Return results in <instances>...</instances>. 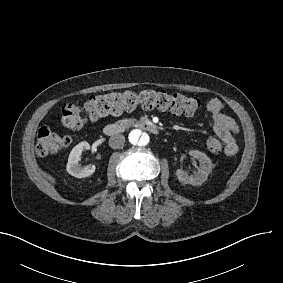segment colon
Here are the masks:
<instances>
[{"mask_svg":"<svg viewBox=\"0 0 283 283\" xmlns=\"http://www.w3.org/2000/svg\"><path fill=\"white\" fill-rule=\"evenodd\" d=\"M137 106L145 109H170L186 116H193L201 106V99L179 92L158 90H124L91 97L83 104H66L61 108L60 123L63 127L77 130L89 121L104 115H120ZM69 136L61 135L44 127L38 131L34 151L37 156L45 157L59 153L70 146ZM209 152L222 150V144L215 137L208 138L205 144Z\"/></svg>","mask_w":283,"mask_h":283,"instance_id":"1","label":"colon"}]
</instances>
